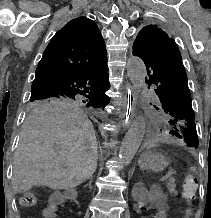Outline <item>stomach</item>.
<instances>
[{
    "mask_svg": "<svg viewBox=\"0 0 211 218\" xmlns=\"http://www.w3.org/2000/svg\"><path fill=\"white\" fill-rule=\"evenodd\" d=\"M140 166L143 169H149L158 172L167 166V161L161 154L149 152L142 156L140 160Z\"/></svg>",
    "mask_w": 211,
    "mask_h": 218,
    "instance_id": "1",
    "label": "stomach"
}]
</instances>
